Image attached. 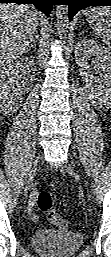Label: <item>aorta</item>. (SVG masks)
<instances>
[{
  "label": "aorta",
  "instance_id": "762f6f07",
  "mask_svg": "<svg viewBox=\"0 0 111 257\" xmlns=\"http://www.w3.org/2000/svg\"><path fill=\"white\" fill-rule=\"evenodd\" d=\"M56 16H57L58 22L61 25L65 26L68 22V6L58 5L57 11H56Z\"/></svg>",
  "mask_w": 111,
  "mask_h": 257
}]
</instances>
